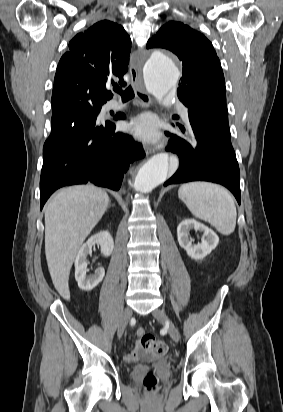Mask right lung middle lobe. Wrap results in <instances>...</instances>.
I'll list each match as a JSON object with an SVG mask.
<instances>
[{
  "instance_id": "obj_1",
  "label": "right lung middle lobe",
  "mask_w": 283,
  "mask_h": 412,
  "mask_svg": "<svg viewBox=\"0 0 283 412\" xmlns=\"http://www.w3.org/2000/svg\"><path fill=\"white\" fill-rule=\"evenodd\" d=\"M102 103H94L91 101H80L70 108H68L66 111L57 113V114H52V120H51V125H59V124H68L73 122L76 118H78L80 115L87 113V112H93L98 114L101 110Z\"/></svg>"
}]
</instances>
